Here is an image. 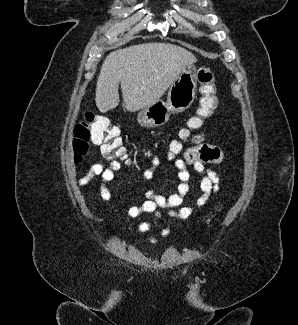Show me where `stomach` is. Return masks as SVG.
<instances>
[{"label": "stomach", "instance_id": "0dacf381", "mask_svg": "<svg viewBox=\"0 0 298 325\" xmlns=\"http://www.w3.org/2000/svg\"><path fill=\"white\" fill-rule=\"evenodd\" d=\"M197 94V78L195 64H186L179 76L174 78L166 96V100H157L146 106L137 114L141 126L154 128L162 126L171 114L184 112L193 104Z\"/></svg>", "mask_w": 298, "mask_h": 325}]
</instances>
